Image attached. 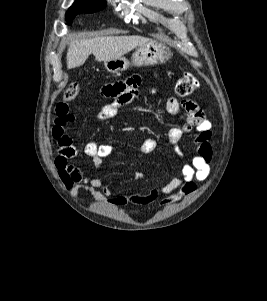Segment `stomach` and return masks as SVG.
<instances>
[{"label": "stomach", "instance_id": "obj_1", "mask_svg": "<svg viewBox=\"0 0 267 301\" xmlns=\"http://www.w3.org/2000/svg\"><path fill=\"white\" fill-rule=\"evenodd\" d=\"M171 56L170 48L162 42L152 40L140 45L132 55V64L135 66H149L163 64ZM105 69L110 73H120L129 68L130 62L120 57L104 62Z\"/></svg>", "mask_w": 267, "mask_h": 301}]
</instances>
